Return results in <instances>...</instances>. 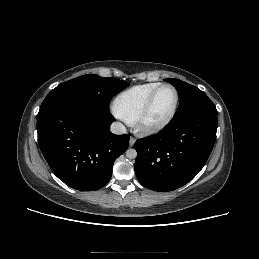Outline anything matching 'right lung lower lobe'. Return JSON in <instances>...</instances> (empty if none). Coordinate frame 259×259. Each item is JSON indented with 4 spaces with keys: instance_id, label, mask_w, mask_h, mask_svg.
<instances>
[{
    "instance_id": "1",
    "label": "right lung lower lobe",
    "mask_w": 259,
    "mask_h": 259,
    "mask_svg": "<svg viewBox=\"0 0 259 259\" xmlns=\"http://www.w3.org/2000/svg\"><path fill=\"white\" fill-rule=\"evenodd\" d=\"M109 110L79 101H63L37 115L38 143L53 173L66 185L94 191L111 178L117 157L129 146V135H115Z\"/></svg>"
}]
</instances>
